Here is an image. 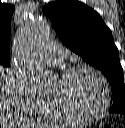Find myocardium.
Instances as JSON below:
<instances>
[{"mask_svg":"<svg viewBox=\"0 0 125 128\" xmlns=\"http://www.w3.org/2000/svg\"><path fill=\"white\" fill-rule=\"evenodd\" d=\"M83 71L89 72L98 78V80L102 85L103 101L99 109H97L96 111L88 114H81V113H73L68 111L61 105V103L58 101L56 97L50 95V100L55 112L59 115L60 118L68 122L85 123V122L94 121L100 118L107 111L109 107V103H110L109 83L105 78V76L96 68H93L86 64H77L64 70L61 73L60 77L67 78V77H70L71 75H74L78 72H83Z\"/></svg>","mask_w":125,"mask_h":128,"instance_id":"f54148a6","label":"myocardium"}]
</instances>
